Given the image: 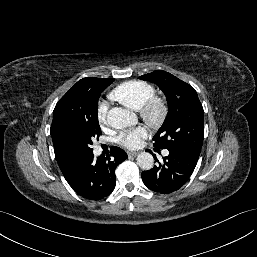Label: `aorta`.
I'll use <instances>...</instances> for the list:
<instances>
[{
    "label": "aorta",
    "instance_id": "762f6f07",
    "mask_svg": "<svg viewBox=\"0 0 257 257\" xmlns=\"http://www.w3.org/2000/svg\"><path fill=\"white\" fill-rule=\"evenodd\" d=\"M107 122L114 129H124L137 124L135 113L120 107H114L108 111ZM137 164L143 170H150L154 165V158L148 152H142L137 157Z\"/></svg>",
    "mask_w": 257,
    "mask_h": 257
}]
</instances>
